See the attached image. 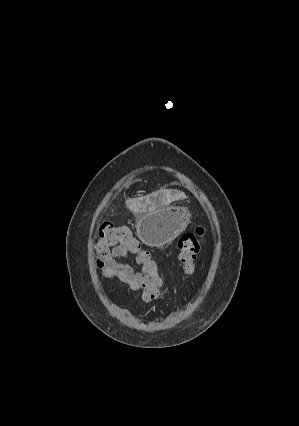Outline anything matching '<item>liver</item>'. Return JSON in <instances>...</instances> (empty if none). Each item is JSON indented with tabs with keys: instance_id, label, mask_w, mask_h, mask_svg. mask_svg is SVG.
I'll use <instances>...</instances> for the list:
<instances>
[{
	"instance_id": "6515ba94",
	"label": "liver",
	"mask_w": 299,
	"mask_h": 426,
	"mask_svg": "<svg viewBox=\"0 0 299 426\" xmlns=\"http://www.w3.org/2000/svg\"><path fill=\"white\" fill-rule=\"evenodd\" d=\"M130 202H131V201H129V202H128V204H129ZM167 202H169V201H167ZM142 207H143V208H145V206H142Z\"/></svg>"
}]
</instances>
